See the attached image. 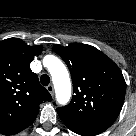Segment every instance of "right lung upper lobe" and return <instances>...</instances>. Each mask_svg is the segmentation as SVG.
<instances>
[{
  "label": "right lung upper lobe",
  "instance_id": "cb5924a9",
  "mask_svg": "<svg viewBox=\"0 0 136 136\" xmlns=\"http://www.w3.org/2000/svg\"><path fill=\"white\" fill-rule=\"evenodd\" d=\"M41 46H28L18 38L0 42V133L14 135L32 124L42 102L51 101L30 69Z\"/></svg>",
  "mask_w": 136,
  "mask_h": 136
}]
</instances>
